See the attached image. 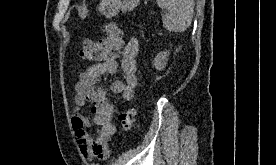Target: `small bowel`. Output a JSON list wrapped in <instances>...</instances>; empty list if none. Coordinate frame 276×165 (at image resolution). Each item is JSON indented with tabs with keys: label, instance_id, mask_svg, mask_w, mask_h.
Returning <instances> with one entry per match:
<instances>
[{
	"label": "small bowel",
	"instance_id": "small-bowel-1",
	"mask_svg": "<svg viewBox=\"0 0 276 165\" xmlns=\"http://www.w3.org/2000/svg\"><path fill=\"white\" fill-rule=\"evenodd\" d=\"M138 53L139 43L137 39L131 37L121 52L119 62L114 59L96 63L79 75L75 84L74 103L76 108L71 123L79 150L88 160L107 157L108 142L116 131L112 122L114 109L107 96V91L101 83L102 78L105 75L115 74L120 68L123 78L113 81L110 90L126 101L133 100L137 85L136 59ZM87 104H91L93 122L98 127L93 136L87 131L90 127L89 119L79 112Z\"/></svg>",
	"mask_w": 276,
	"mask_h": 165
}]
</instances>
